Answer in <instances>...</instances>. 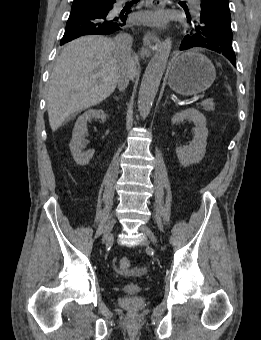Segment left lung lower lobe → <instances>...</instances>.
<instances>
[{"label": "left lung lower lobe", "instance_id": "left-lung-lower-lobe-1", "mask_svg": "<svg viewBox=\"0 0 261 340\" xmlns=\"http://www.w3.org/2000/svg\"><path fill=\"white\" fill-rule=\"evenodd\" d=\"M221 14L222 16H219ZM226 18L231 20L229 1L228 0H201L200 3V16L198 22H208L214 18ZM188 21L190 18L188 17ZM200 43L195 36H185L180 50L189 49L192 47H200ZM230 62L236 66V57L233 49H228L222 53Z\"/></svg>", "mask_w": 261, "mask_h": 340}]
</instances>
